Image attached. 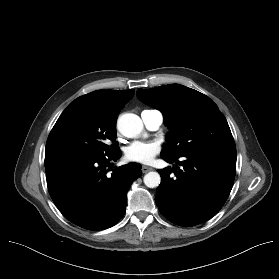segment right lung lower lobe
Listing matches in <instances>:
<instances>
[{"instance_id": "right-lung-lower-lobe-1", "label": "right lung lower lobe", "mask_w": 279, "mask_h": 279, "mask_svg": "<svg viewBox=\"0 0 279 279\" xmlns=\"http://www.w3.org/2000/svg\"><path fill=\"white\" fill-rule=\"evenodd\" d=\"M121 155L118 149L103 156L73 154L45 159L50 196L66 219L88 230H103L124 216L127 190L142 171L140 164L130 163L108 174L110 161Z\"/></svg>"}]
</instances>
